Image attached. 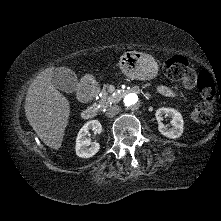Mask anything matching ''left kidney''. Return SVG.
Segmentation results:
<instances>
[{
  "label": "left kidney",
  "instance_id": "5707ae66",
  "mask_svg": "<svg viewBox=\"0 0 221 221\" xmlns=\"http://www.w3.org/2000/svg\"><path fill=\"white\" fill-rule=\"evenodd\" d=\"M155 116L159 123L158 130L162 135L171 139L179 138L182 135L184 121L179 111L173 108L162 107L156 110ZM163 116H170L172 118L171 128H167L161 122V120L163 119Z\"/></svg>",
  "mask_w": 221,
  "mask_h": 221
}]
</instances>
